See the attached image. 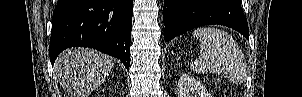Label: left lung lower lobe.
<instances>
[{"label": "left lung lower lobe", "instance_id": "left-lung-lower-lobe-1", "mask_svg": "<svg viewBox=\"0 0 302 97\" xmlns=\"http://www.w3.org/2000/svg\"><path fill=\"white\" fill-rule=\"evenodd\" d=\"M165 41L203 25L231 27L249 39L241 0H164Z\"/></svg>", "mask_w": 302, "mask_h": 97}]
</instances>
